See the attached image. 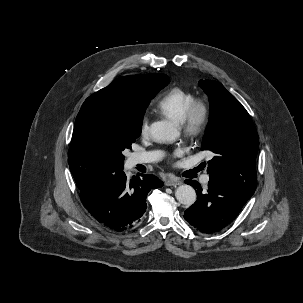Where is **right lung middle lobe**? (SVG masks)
I'll use <instances>...</instances> for the list:
<instances>
[{
    "instance_id": "dd1d6c3e",
    "label": "right lung middle lobe",
    "mask_w": 303,
    "mask_h": 303,
    "mask_svg": "<svg viewBox=\"0 0 303 303\" xmlns=\"http://www.w3.org/2000/svg\"><path fill=\"white\" fill-rule=\"evenodd\" d=\"M169 78L160 80L155 86L151 98L129 103L121 100H94L82 105L76 121L80 126V139L96 151L109 172L123 169L125 149H131L141 133L142 118L150 100L167 84ZM70 166L78 187L90 177L89 171L80 166Z\"/></svg>"
}]
</instances>
